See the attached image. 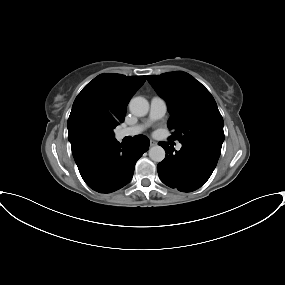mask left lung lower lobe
<instances>
[{
  "label": "left lung lower lobe",
  "instance_id": "left-lung-lower-lobe-1",
  "mask_svg": "<svg viewBox=\"0 0 285 285\" xmlns=\"http://www.w3.org/2000/svg\"><path fill=\"white\" fill-rule=\"evenodd\" d=\"M159 144L166 157L157 165L158 175L164 184L182 192L200 188L211 176L221 153V149L204 144H182L179 151L165 142Z\"/></svg>",
  "mask_w": 285,
  "mask_h": 285
}]
</instances>
